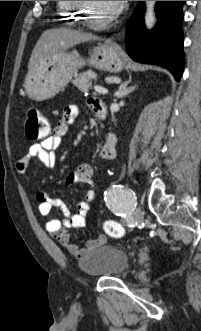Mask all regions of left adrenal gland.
I'll list each match as a JSON object with an SVG mask.
<instances>
[{
  "mask_svg": "<svg viewBox=\"0 0 201 331\" xmlns=\"http://www.w3.org/2000/svg\"><path fill=\"white\" fill-rule=\"evenodd\" d=\"M128 82L123 83L119 86V90L116 93V97L123 98L135 90L136 86L127 87Z\"/></svg>",
  "mask_w": 201,
  "mask_h": 331,
  "instance_id": "1",
  "label": "left adrenal gland"
}]
</instances>
